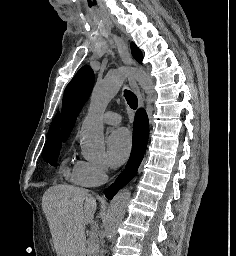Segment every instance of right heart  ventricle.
I'll return each instance as SVG.
<instances>
[{"instance_id":"right-heart-ventricle-1","label":"right heart ventricle","mask_w":236,"mask_h":256,"mask_svg":"<svg viewBox=\"0 0 236 256\" xmlns=\"http://www.w3.org/2000/svg\"><path fill=\"white\" fill-rule=\"evenodd\" d=\"M61 173L63 174V176H67V172L65 171L64 166L61 168Z\"/></svg>"}]
</instances>
